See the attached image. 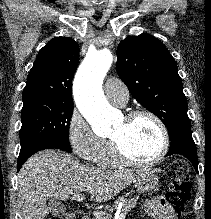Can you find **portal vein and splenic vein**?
<instances>
[{"label":"portal vein and splenic vein","mask_w":211,"mask_h":219,"mask_svg":"<svg viewBox=\"0 0 211 219\" xmlns=\"http://www.w3.org/2000/svg\"><path fill=\"white\" fill-rule=\"evenodd\" d=\"M85 199L84 195L82 194H76V195H73L72 196V200H75V201H79V202H82L83 200ZM99 213H96L95 215H98ZM125 213H121L119 216H118V219H125Z\"/></svg>","instance_id":"18ae733b"}]
</instances>
